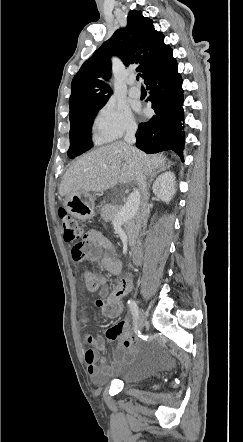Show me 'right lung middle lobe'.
<instances>
[{"instance_id":"right-lung-middle-lobe-1","label":"right lung middle lobe","mask_w":243,"mask_h":442,"mask_svg":"<svg viewBox=\"0 0 243 442\" xmlns=\"http://www.w3.org/2000/svg\"><path fill=\"white\" fill-rule=\"evenodd\" d=\"M101 107L84 112L70 120V148L68 150V156L70 158H75L76 156L91 149L93 146L91 129L94 118Z\"/></svg>"}]
</instances>
